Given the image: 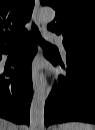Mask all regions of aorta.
I'll return each instance as SVG.
<instances>
[{
  "label": "aorta",
  "instance_id": "obj_1",
  "mask_svg": "<svg viewBox=\"0 0 95 130\" xmlns=\"http://www.w3.org/2000/svg\"><path fill=\"white\" fill-rule=\"evenodd\" d=\"M37 18L43 23H50L55 18V11L50 7L40 8ZM47 88L46 80L42 79L34 91L30 106V130H45L44 108Z\"/></svg>",
  "mask_w": 95,
  "mask_h": 130
}]
</instances>
